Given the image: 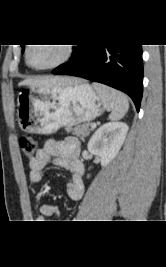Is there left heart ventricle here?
Masks as SVG:
<instances>
[{"instance_id":"1","label":"left heart ventricle","mask_w":166,"mask_h":267,"mask_svg":"<svg viewBox=\"0 0 166 267\" xmlns=\"http://www.w3.org/2000/svg\"><path fill=\"white\" fill-rule=\"evenodd\" d=\"M64 55V47L60 44H35L29 52L32 66L42 67L59 61Z\"/></svg>"}]
</instances>
